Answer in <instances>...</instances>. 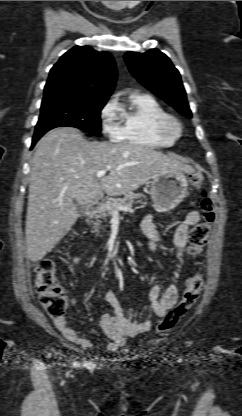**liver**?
Masks as SVG:
<instances>
[{"label":"liver","instance_id":"1","mask_svg":"<svg viewBox=\"0 0 242 416\" xmlns=\"http://www.w3.org/2000/svg\"><path fill=\"white\" fill-rule=\"evenodd\" d=\"M167 169L194 172L149 147L89 142L72 127L49 131L36 144L31 161L25 227L29 259H43L70 231L79 216L74 201L90 206L104 193H130ZM101 170L110 173L98 180L96 173Z\"/></svg>","mask_w":242,"mask_h":416}]
</instances>
